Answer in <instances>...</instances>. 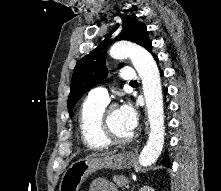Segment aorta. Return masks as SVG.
<instances>
[{
  "label": "aorta",
  "instance_id": "762f6f07",
  "mask_svg": "<svg viewBox=\"0 0 221 191\" xmlns=\"http://www.w3.org/2000/svg\"><path fill=\"white\" fill-rule=\"evenodd\" d=\"M110 56L114 59L129 58L142 80L150 133L140 153L139 163L149 166L160 156L165 134L162 86L157 64L146 49L125 41L115 43L110 49Z\"/></svg>",
  "mask_w": 221,
  "mask_h": 191
}]
</instances>
